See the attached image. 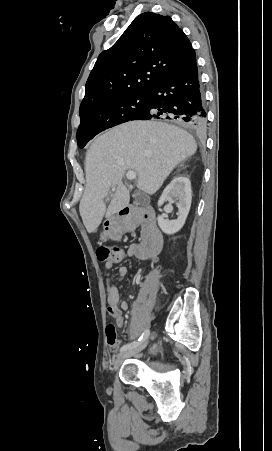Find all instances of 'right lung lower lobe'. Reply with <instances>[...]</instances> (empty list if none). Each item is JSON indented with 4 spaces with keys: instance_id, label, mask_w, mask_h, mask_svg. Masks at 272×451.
Wrapping results in <instances>:
<instances>
[{
    "instance_id": "98d812e1",
    "label": "right lung lower lobe",
    "mask_w": 272,
    "mask_h": 451,
    "mask_svg": "<svg viewBox=\"0 0 272 451\" xmlns=\"http://www.w3.org/2000/svg\"><path fill=\"white\" fill-rule=\"evenodd\" d=\"M147 111L135 120H176L193 131L206 128V110L195 51L149 93Z\"/></svg>"
}]
</instances>
